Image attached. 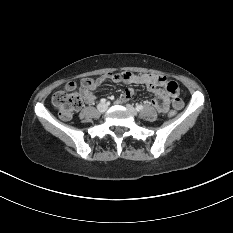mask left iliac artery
<instances>
[{"instance_id":"44dca946","label":"left iliac artery","mask_w":233,"mask_h":233,"mask_svg":"<svg viewBox=\"0 0 233 233\" xmlns=\"http://www.w3.org/2000/svg\"><path fill=\"white\" fill-rule=\"evenodd\" d=\"M136 109L139 111V110H142L143 109V105H136Z\"/></svg>"}]
</instances>
